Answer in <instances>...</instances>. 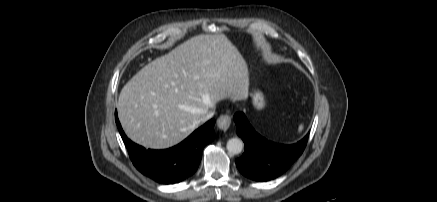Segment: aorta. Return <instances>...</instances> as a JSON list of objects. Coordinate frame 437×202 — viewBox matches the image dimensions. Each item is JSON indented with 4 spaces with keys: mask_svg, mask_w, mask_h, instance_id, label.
<instances>
[{
    "mask_svg": "<svg viewBox=\"0 0 437 202\" xmlns=\"http://www.w3.org/2000/svg\"><path fill=\"white\" fill-rule=\"evenodd\" d=\"M226 148L230 154H239L243 149V142L239 138H231L228 140Z\"/></svg>",
    "mask_w": 437,
    "mask_h": 202,
    "instance_id": "1",
    "label": "aorta"
}]
</instances>
